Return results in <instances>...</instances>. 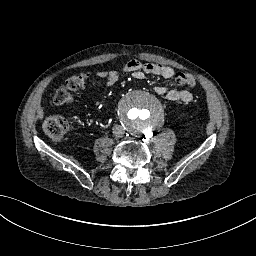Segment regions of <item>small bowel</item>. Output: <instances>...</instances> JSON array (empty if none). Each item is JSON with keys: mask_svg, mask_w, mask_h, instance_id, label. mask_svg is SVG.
<instances>
[{"mask_svg": "<svg viewBox=\"0 0 256 256\" xmlns=\"http://www.w3.org/2000/svg\"><path fill=\"white\" fill-rule=\"evenodd\" d=\"M123 70L125 72H131L133 75L142 79L145 74H153L162 77L163 79H172L176 76L175 70L166 65L160 64H150L142 63L138 60L128 61ZM89 73H84L85 78L89 77ZM96 77L104 82L107 86H113L117 83L119 79V72L117 70H99L95 73ZM155 91L158 95L165 97L169 101H182V102H191L193 95L188 90H179V89H167L164 85H158L155 87Z\"/></svg>", "mask_w": 256, "mask_h": 256, "instance_id": "small-bowel-1", "label": "small bowel"}]
</instances>
